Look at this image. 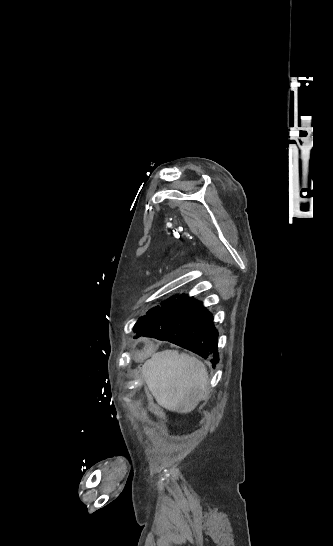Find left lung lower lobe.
Returning <instances> with one entry per match:
<instances>
[{
    "mask_svg": "<svg viewBox=\"0 0 333 546\" xmlns=\"http://www.w3.org/2000/svg\"><path fill=\"white\" fill-rule=\"evenodd\" d=\"M136 337H153L191 350L203 358L219 362L218 331L213 315L201 302L186 294L160 307L141 327L133 328Z\"/></svg>",
    "mask_w": 333,
    "mask_h": 546,
    "instance_id": "obj_1",
    "label": "left lung lower lobe"
}]
</instances>
